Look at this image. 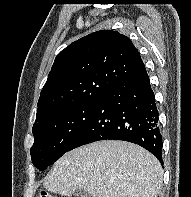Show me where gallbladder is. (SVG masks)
<instances>
[{"instance_id":"gallbladder-1","label":"gallbladder","mask_w":191,"mask_h":197,"mask_svg":"<svg viewBox=\"0 0 191 197\" xmlns=\"http://www.w3.org/2000/svg\"><path fill=\"white\" fill-rule=\"evenodd\" d=\"M74 197H92L89 193H87L86 191H83L81 189L75 191L73 193Z\"/></svg>"}]
</instances>
